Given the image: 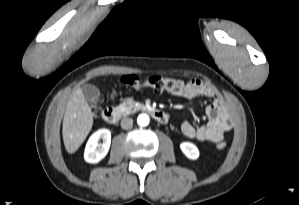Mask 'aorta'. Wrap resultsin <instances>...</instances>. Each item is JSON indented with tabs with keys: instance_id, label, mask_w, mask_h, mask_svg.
Returning a JSON list of instances; mask_svg holds the SVG:
<instances>
[{
	"instance_id": "762f6f07",
	"label": "aorta",
	"mask_w": 299,
	"mask_h": 205,
	"mask_svg": "<svg viewBox=\"0 0 299 205\" xmlns=\"http://www.w3.org/2000/svg\"><path fill=\"white\" fill-rule=\"evenodd\" d=\"M149 116L147 114H140L137 118V123L140 126H147L149 124Z\"/></svg>"
}]
</instances>
